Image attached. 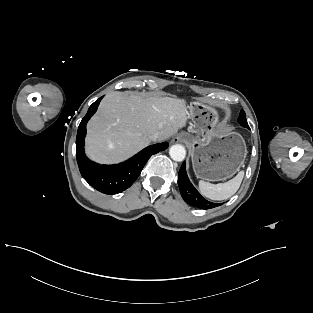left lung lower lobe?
<instances>
[{
  "mask_svg": "<svg viewBox=\"0 0 313 313\" xmlns=\"http://www.w3.org/2000/svg\"><path fill=\"white\" fill-rule=\"evenodd\" d=\"M178 185L182 198L191 206L201 209H210L221 205L220 203H212L207 201L194 188L187 176L185 162L182 164L178 173Z\"/></svg>",
  "mask_w": 313,
  "mask_h": 313,
  "instance_id": "1",
  "label": "left lung lower lobe"
}]
</instances>
